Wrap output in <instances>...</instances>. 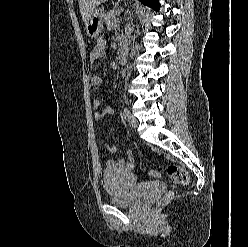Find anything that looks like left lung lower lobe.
I'll return each mask as SVG.
<instances>
[{"label": "left lung lower lobe", "instance_id": "0a47b994", "mask_svg": "<svg viewBox=\"0 0 248 247\" xmlns=\"http://www.w3.org/2000/svg\"><path fill=\"white\" fill-rule=\"evenodd\" d=\"M143 4L148 5L154 9L159 8V3L157 0H140Z\"/></svg>", "mask_w": 248, "mask_h": 247}]
</instances>
